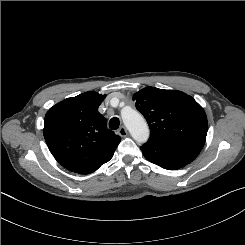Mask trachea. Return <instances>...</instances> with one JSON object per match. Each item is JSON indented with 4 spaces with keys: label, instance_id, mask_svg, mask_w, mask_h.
<instances>
[{
    "label": "trachea",
    "instance_id": "1",
    "mask_svg": "<svg viewBox=\"0 0 245 245\" xmlns=\"http://www.w3.org/2000/svg\"><path fill=\"white\" fill-rule=\"evenodd\" d=\"M119 125H120V121L118 118L114 117L110 120L109 122V128L112 129V130H116L119 128Z\"/></svg>",
    "mask_w": 245,
    "mask_h": 245
}]
</instances>
